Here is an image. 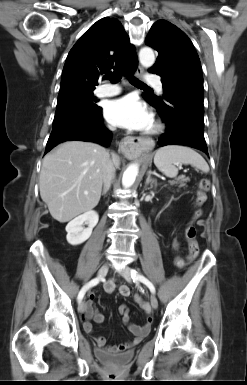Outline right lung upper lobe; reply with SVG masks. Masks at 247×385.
Here are the masks:
<instances>
[{
  "label": "right lung upper lobe",
  "mask_w": 247,
  "mask_h": 385,
  "mask_svg": "<svg viewBox=\"0 0 247 385\" xmlns=\"http://www.w3.org/2000/svg\"><path fill=\"white\" fill-rule=\"evenodd\" d=\"M135 48L122 24L105 17L93 24L70 50L62 73L60 91L95 89L110 70L130 72L137 66Z\"/></svg>",
  "instance_id": "cb5924a9"
}]
</instances>
